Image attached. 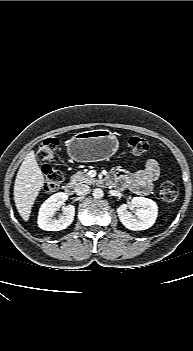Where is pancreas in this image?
<instances>
[{"label": "pancreas", "mask_w": 193, "mask_h": 351, "mask_svg": "<svg viewBox=\"0 0 193 351\" xmlns=\"http://www.w3.org/2000/svg\"><path fill=\"white\" fill-rule=\"evenodd\" d=\"M71 182L74 185H78L80 183L94 184L96 183V179L90 177L87 173L78 171L72 175Z\"/></svg>", "instance_id": "1"}]
</instances>
